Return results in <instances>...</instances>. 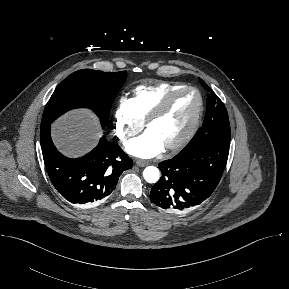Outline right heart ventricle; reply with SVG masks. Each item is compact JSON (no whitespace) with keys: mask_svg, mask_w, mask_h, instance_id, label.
I'll return each mask as SVG.
<instances>
[{"mask_svg":"<svg viewBox=\"0 0 289 289\" xmlns=\"http://www.w3.org/2000/svg\"><path fill=\"white\" fill-rule=\"evenodd\" d=\"M184 86L178 82H162L154 85H141L133 90L131 98L134 113L138 120L144 122L147 116L171 91Z\"/></svg>","mask_w":289,"mask_h":289,"instance_id":"1","label":"right heart ventricle"}]
</instances>
